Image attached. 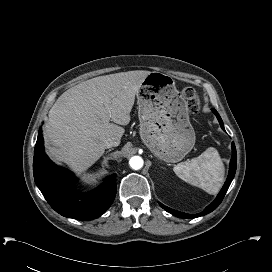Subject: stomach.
<instances>
[{
	"label": "stomach",
	"mask_w": 272,
	"mask_h": 272,
	"mask_svg": "<svg viewBox=\"0 0 272 272\" xmlns=\"http://www.w3.org/2000/svg\"><path fill=\"white\" fill-rule=\"evenodd\" d=\"M136 96L143 143L162 161H181L194 147L196 136L175 80L153 71L145 77Z\"/></svg>",
	"instance_id": "stomach-1"
}]
</instances>
